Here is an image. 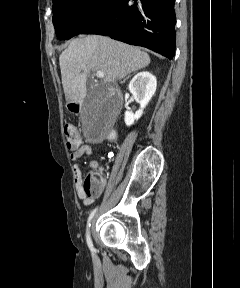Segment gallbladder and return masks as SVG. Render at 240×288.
I'll return each mask as SVG.
<instances>
[{"instance_id":"gallbladder-1","label":"gallbladder","mask_w":240,"mask_h":288,"mask_svg":"<svg viewBox=\"0 0 240 288\" xmlns=\"http://www.w3.org/2000/svg\"><path fill=\"white\" fill-rule=\"evenodd\" d=\"M111 110L109 102L106 98L99 92H91L89 90L86 103L84 105L82 114L87 117L93 113L100 115H107Z\"/></svg>"}]
</instances>
